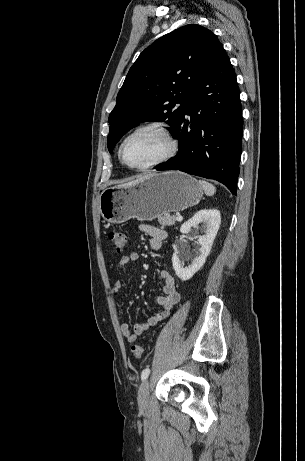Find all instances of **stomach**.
I'll use <instances>...</instances> for the list:
<instances>
[{"mask_svg": "<svg viewBox=\"0 0 305 461\" xmlns=\"http://www.w3.org/2000/svg\"><path fill=\"white\" fill-rule=\"evenodd\" d=\"M203 189L192 176L180 171L152 174L128 187L104 190L99 197L102 217L114 224L131 218L153 220L164 213L197 205Z\"/></svg>", "mask_w": 305, "mask_h": 461, "instance_id": "stomach-1", "label": "stomach"}]
</instances>
